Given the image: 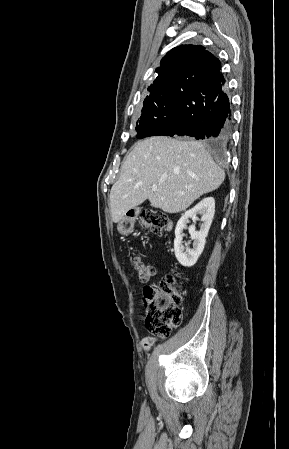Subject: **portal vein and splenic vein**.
<instances>
[{"mask_svg":"<svg viewBox=\"0 0 289 449\" xmlns=\"http://www.w3.org/2000/svg\"><path fill=\"white\" fill-rule=\"evenodd\" d=\"M156 189H157V185L154 184V185L152 186V191H156Z\"/></svg>","mask_w":289,"mask_h":449,"instance_id":"18ae733b","label":"portal vein and splenic vein"}]
</instances>
